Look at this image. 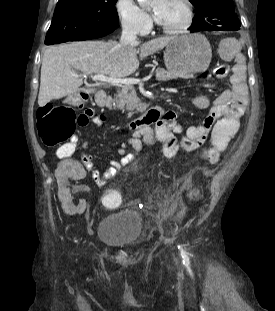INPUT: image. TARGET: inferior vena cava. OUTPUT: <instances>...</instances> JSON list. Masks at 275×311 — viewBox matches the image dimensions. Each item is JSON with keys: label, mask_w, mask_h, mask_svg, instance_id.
<instances>
[{"label": "inferior vena cava", "mask_w": 275, "mask_h": 311, "mask_svg": "<svg viewBox=\"0 0 275 311\" xmlns=\"http://www.w3.org/2000/svg\"><path fill=\"white\" fill-rule=\"evenodd\" d=\"M137 30L132 28H123L120 43L122 45H131L136 43Z\"/></svg>", "instance_id": "obj_1"}]
</instances>
